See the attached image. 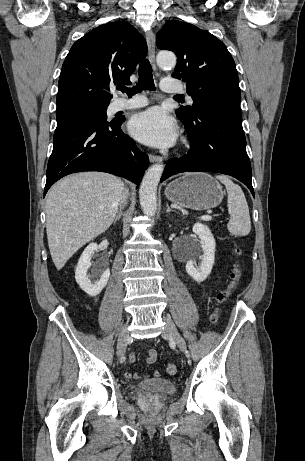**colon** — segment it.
<instances>
[{
  "mask_svg": "<svg viewBox=\"0 0 305 461\" xmlns=\"http://www.w3.org/2000/svg\"><path fill=\"white\" fill-rule=\"evenodd\" d=\"M235 253H236V256L239 258L241 256V249L236 248ZM241 276H242V264L238 260L237 263L235 264V267H234L231 275H230V281H229L228 285L226 286V288H224L222 291H220V293L217 296V299H218L219 303H224L229 298L231 293L236 289V287H237V285H238V283H239V281L241 279ZM218 319H219V311L216 310L211 316V321L213 323H216L218 321ZM166 372L169 375H175L177 373V366L175 364H173V363L167 364Z\"/></svg>",
  "mask_w": 305,
  "mask_h": 461,
  "instance_id": "5ec220e1",
  "label": "colon"
}]
</instances>
